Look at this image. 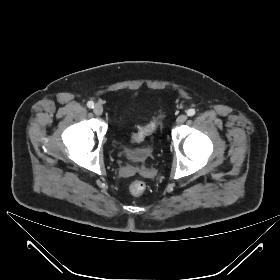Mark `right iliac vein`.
I'll return each instance as SVG.
<instances>
[{"mask_svg":"<svg viewBox=\"0 0 280 280\" xmlns=\"http://www.w3.org/2000/svg\"><path fill=\"white\" fill-rule=\"evenodd\" d=\"M93 111L96 115L100 116L103 113V107L101 105L97 104V105H95Z\"/></svg>","mask_w":280,"mask_h":280,"instance_id":"right-iliac-vein-1","label":"right iliac vein"}]
</instances>
